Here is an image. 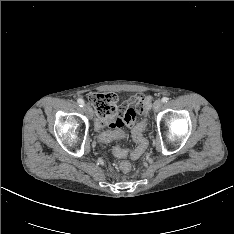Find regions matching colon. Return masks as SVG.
Wrapping results in <instances>:
<instances>
[{
    "mask_svg": "<svg viewBox=\"0 0 234 234\" xmlns=\"http://www.w3.org/2000/svg\"><path fill=\"white\" fill-rule=\"evenodd\" d=\"M143 100V118L132 133V138L137 142V146L132 150L125 149L120 145L113 146L111 152L119 159H124L126 157L138 159L146 148V141L143 136L145 127L144 114L147 113V109L151 107V100H153V97L146 94L144 95ZM89 102L92 104L98 115L96 128L102 129L104 126H107V130L100 133L99 141L102 144H107L112 141L121 140L122 144H127L130 139V134L125 132L124 128L121 127L127 121V114L122 111V108L118 107L116 96L112 93H94L89 96ZM121 169L124 172H129L132 169V164L125 161L121 164Z\"/></svg>",
    "mask_w": 234,
    "mask_h": 234,
    "instance_id": "1",
    "label": "colon"
}]
</instances>
